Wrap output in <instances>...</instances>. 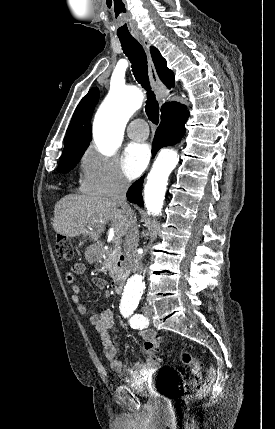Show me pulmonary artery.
I'll list each match as a JSON object with an SVG mask.
<instances>
[{
    "label": "pulmonary artery",
    "mask_w": 275,
    "mask_h": 429,
    "mask_svg": "<svg viewBox=\"0 0 275 429\" xmlns=\"http://www.w3.org/2000/svg\"><path fill=\"white\" fill-rule=\"evenodd\" d=\"M127 134L133 140H145L149 134L146 122L143 119L133 120L127 128Z\"/></svg>",
    "instance_id": "e3ab8cb5"
}]
</instances>
